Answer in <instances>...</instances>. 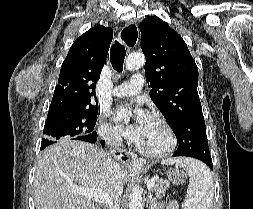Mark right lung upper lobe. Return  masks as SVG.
<instances>
[{"instance_id":"cb5924a9","label":"right lung upper lobe","mask_w":253,"mask_h":209,"mask_svg":"<svg viewBox=\"0 0 253 209\" xmlns=\"http://www.w3.org/2000/svg\"><path fill=\"white\" fill-rule=\"evenodd\" d=\"M113 39L110 27L96 26L81 35L64 60L47 116L63 110L90 108Z\"/></svg>"}]
</instances>
